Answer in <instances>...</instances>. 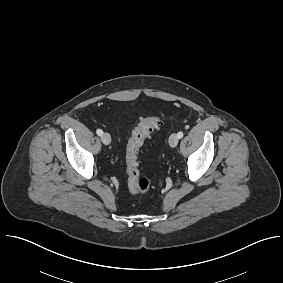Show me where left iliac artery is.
<instances>
[{
	"mask_svg": "<svg viewBox=\"0 0 283 283\" xmlns=\"http://www.w3.org/2000/svg\"><path fill=\"white\" fill-rule=\"evenodd\" d=\"M177 136H178L179 139L182 138V137H183V132H179V133L177 134Z\"/></svg>",
	"mask_w": 283,
	"mask_h": 283,
	"instance_id": "obj_1",
	"label": "left iliac artery"
}]
</instances>
